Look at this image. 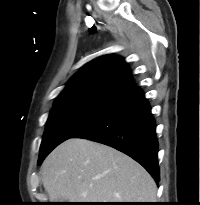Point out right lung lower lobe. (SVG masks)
Listing matches in <instances>:
<instances>
[{"mask_svg":"<svg viewBox=\"0 0 200 205\" xmlns=\"http://www.w3.org/2000/svg\"><path fill=\"white\" fill-rule=\"evenodd\" d=\"M109 145L132 157L159 182L158 142L150 106L139 87L119 97L101 116L71 138Z\"/></svg>","mask_w":200,"mask_h":205,"instance_id":"98d812e1","label":"right lung lower lobe"}]
</instances>
